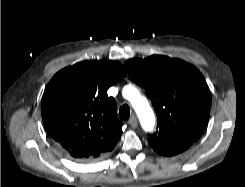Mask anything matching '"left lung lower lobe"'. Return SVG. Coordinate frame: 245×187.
Here are the masks:
<instances>
[{
    "mask_svg": "<svg viewBox=\"0 0 245 187\" xmlns=\"http://www.w3.org/2000/svg\"><path fill=\"white\" fill-rule=\"evenodd\" d=\"M148 142L159 154L164 156H174L188 149L194 141L162 142L149 137Z\"/></svg>",
    "mask_w": 245,
    "mask_h": 187,
    "instance_id": "left-lung-lower-lobe-1",
    "label": "left lung lower lobe"
}]
</instances>
